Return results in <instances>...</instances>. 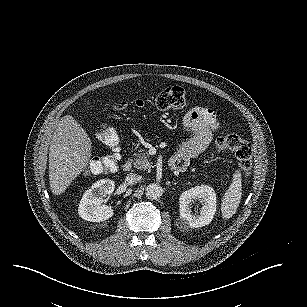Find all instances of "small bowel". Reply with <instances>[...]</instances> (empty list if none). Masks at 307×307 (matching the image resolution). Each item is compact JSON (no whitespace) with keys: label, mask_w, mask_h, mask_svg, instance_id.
<instances>
[{"label":"small bowel","mask_w":307,"mask_h":307,"mask_svg":"<svg viewBox=\"0 0 307 307\" xmlns=\"http://www.w3.org/2000/svg\"><path fill=\"white\" fill-rule=\"evenodd\" d=\"M183 125L192 136L179 145L171 160L179 170H184L190 159L208 148L214 132L221 127L215 112L204 107L190 109L184 116Z\"/></svg>","instance_id":"small-bowel-1"}]
</instances>
